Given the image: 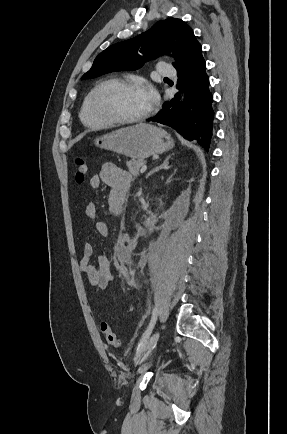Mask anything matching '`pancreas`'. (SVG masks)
Returning a JSON list of instances; mask_svg holds the SVG:
<instances>
[{
	"label": "pancreas",
	"mask_w": 287,
	"mask_h": 434,
	"mask_svg": "<svg viewBox=\"0 0 287 434\" xmlns=\"http://www.w3.org/2000/svg\"><path fill=\"white\" fill-rule=\"evenodd\" d=\"M144 164V160L143 159H138V160H130L126 163L129 172L134 175V176H138L141 167Z\"/></svg>",
	"instance_id": "obj_1"
}]
</instances>
